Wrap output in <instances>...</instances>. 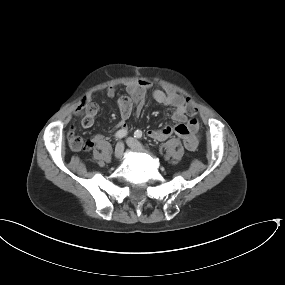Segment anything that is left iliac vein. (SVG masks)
Masks as SVG:
<instances>
[{"label":"left iliac vein","instance_id":"1","mask_svg":"<svg viewBox=\"0 0 285 285\" xmlns=\"http://www.w3.org/2000/svg\"><path fill=\"white\" fill-rule=\"evenodd\" d=\"M126 144L133 149L143 150V146L140 144L138 140L132 137H128L126 139Z\"/></svg>","mask_w":285,"mask_h":285}]
</instances>
